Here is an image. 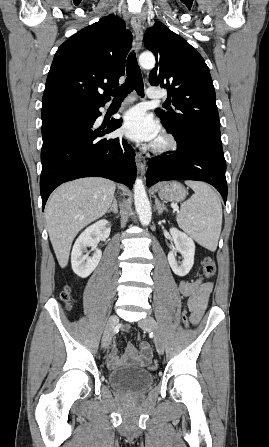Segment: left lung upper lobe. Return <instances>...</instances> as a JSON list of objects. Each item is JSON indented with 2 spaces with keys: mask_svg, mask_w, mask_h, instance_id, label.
Instances as JSON below:
<instances>
[{
  "mask_svg": "<svg viewBox=\"0 0 269 447\" xmlns=\"http://www.w3.org/2000/svg\"><path fill=\"white\" fill-rule=\"evenodd\" d=\"M144 42L157 61L150 84L168 91V111H155L167 131L179 138L200 133L221 138L215 89L202 56L160 22L145 32Z\"/></svg>",
  "mask_w": 269,
  "mask_h": 447,
  "instance_id": "1",
  "label": "left lung upper lobe"
}]
</instances>
